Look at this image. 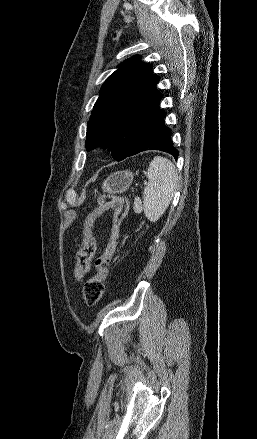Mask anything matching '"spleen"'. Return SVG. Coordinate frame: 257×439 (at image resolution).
<instances>
[{"mask_svg": "<svg viewBox=\"0 0 257 439\" xmlns=\"http://www.w3.org/2000/svg\"><path fill=\"white\" fill-rule=\"evenodd\" d=\"M147 178L143 192L144 214L150 222H157L172 200L178 174L170 160L156 156L148 167Z\"/></svg>", "mask_w": 257, "mask_h": 439, "instance_id": "obj_1", "label": "spleen"}]
</instances>
